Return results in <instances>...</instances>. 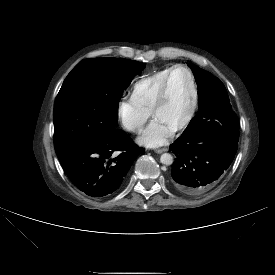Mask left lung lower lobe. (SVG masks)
<instances>
[{
    "label": "left lung lower lobe",
    "instance_id": "obj_1",
    "mask_svg": "<svg viewBox=\"0 0 275 275\" xmlns=\"http://www.w3.org/2000/svg\"><path fill=\"white\" fill-rule=\"evenodd\" d=\"M237 147L238 139L226 132L180 136L170 146L176 155L172 168L173 185L188 195L208 191L230 166Z\"/></svg>",
    "mask_w": 275,
    "mask_h": 275
}]
</instances>
